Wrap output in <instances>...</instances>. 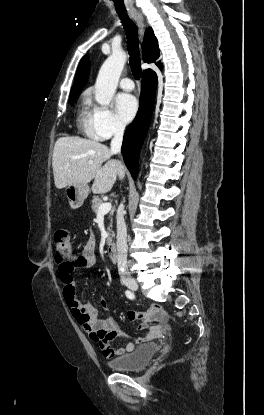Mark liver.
I'll use <instances>...</instances> for the list:
<instances>
[{
  "mask_svg": "<svg viewBox=\"0 0 264 415\" xmlns=\"http://www.w3.org/2000/svg\"><path fill=\"white\" fill-rule=\"evenodd\" d=\"M111 150L97 141L80 137H61L54 146L52 166L55 186L63 189L70 184H88L94 179L92 192L104 194L115 184L124 168L110 159ZM106 162L103 166L102 164Z\"/></svg>",
  "mask_w": 264,
  "mask_h": 415,
  "instance_id": "6515ba94",
  "label": "liver"
}]
</instances>
